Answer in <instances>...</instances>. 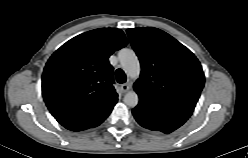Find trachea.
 <instances>
[{
    "label": "trachea",
    "instance_id": "1",
    "mask_svg": "<svg viewBox=\"0 0 248 158\" xmlns=\"http://www.w3.org/2000/svg\"><path fill=\"white\" fill-rule=\"evenodd\" d=\"M116 80L118 83H125L126 82V75L122 69L116 70Z\"/></svg>",
    "mask_w": 248,
    "mask_h": 158
}]
</instances>
